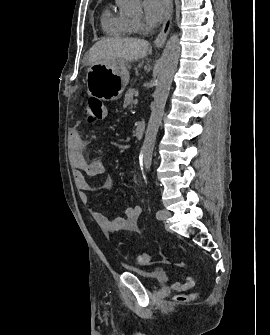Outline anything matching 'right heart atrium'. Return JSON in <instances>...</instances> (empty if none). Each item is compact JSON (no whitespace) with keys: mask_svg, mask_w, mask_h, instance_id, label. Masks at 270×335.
<instances>
[{"mask_svg":"<svg viewBox=\"0 0 270 335\" xmlns=\"http://www.w3.org/2000/svg\"><path fill=\"white\" fill-rule=\"evenodd\" d=\"M144 32V25L141 22H133V33L141 35Z\"/></svg>","mask_w":270,"mask_h":335,"instance_id":"d8ad5b80","label":"right heart atrium"}]
</instances>
